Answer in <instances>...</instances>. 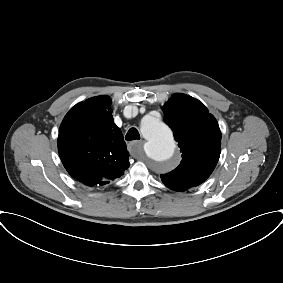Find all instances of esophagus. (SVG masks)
<instances>
[{"mask_svg":"<svg viewBox=\"0 0 283 283\" xmlns=\"http://www.w3.org/2000/svg\"><path fill=\"white\" fill-rule=\"evenodd\" d=\"M144 141H133L128 144V150L132 155L138 156L142 150Z\"/></svg>","mask_w":283,"mask_h":283,"instance_id":"esophagus-1","label":"esophagus"}]
</instances>
